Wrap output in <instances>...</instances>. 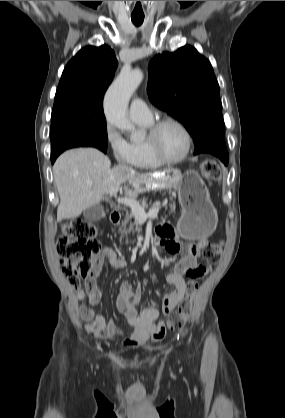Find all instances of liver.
I'll use <instances>...</instances> for the list:
<instances>
[{
  "label": "liver",
  "mask_w": 285,
  "mask_h": 418,
  "mask_svg": "<svg viewBox=\"0 0 285 418\" xmlns=\"http://www.w3.org/2000/svg\"><path fill=\"white\" fill-rule=\"evenodd\" d=\"M53 175L60 196L58 221L78 217L113 188L123 186L125 198L135 199L154 188L177 190L182 180L180 171L174 169L137 173L124 165L111 168L110 159L94 148L64 152L53 166Z\"/></svg>",
  "instance_id": "1"
}]
</instances>
